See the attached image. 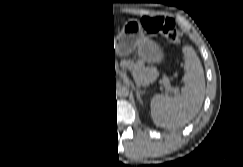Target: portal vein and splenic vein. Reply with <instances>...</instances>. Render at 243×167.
<instances>
[{"label": "portal vein and splenic vein", "mask_w": 243, "mask_h": 167, "mask_svg": "<svg viewBox=\"0 0 243 167\" xmlns=\"http://www.w3.org/2000/svg\"><path fill=\"white\" fill-rule=\"evenodd\" d=\"M168 91H173L174 93H177V90L171 89V87L166 88Z\"/></svg>", "instance_id": "1"}]
</instances>
